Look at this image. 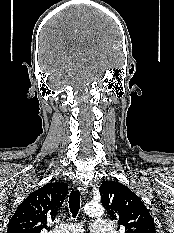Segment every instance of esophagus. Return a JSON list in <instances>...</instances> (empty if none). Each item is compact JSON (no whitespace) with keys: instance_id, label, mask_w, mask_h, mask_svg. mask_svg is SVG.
<instances>
[{"instance_id":"1","label":"esophagus","mask_w":174,"mask_h":233,"mask_svg":"<svg viewBox=\"0 0 174 233\" xmlns=\"http://www.w3.org/2000/svg\"><path fill=\"white\" fill-rule=\"evenodd\" d=\"M79 190H80V192H81V195L85 198L86 195H87V193H88L87 187L84 186V185H81V186L79 187Z\"/></svg>"}]
</instances>
